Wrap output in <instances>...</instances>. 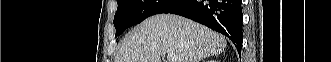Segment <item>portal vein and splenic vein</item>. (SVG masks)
<instances>
[{
    "label": "portal vein and splenic vein",
    "instance_id": "portal-vein-and-splenic-vein-1",
    "mask_svg": "<svg viewBox=\"0 0 331 62\" xmlns=\"http://www.w3.org/2000/svg\"><path fill=\"white\" fill-rule=\"evenodd\" d=\"M176 56L173 54H168L167 55V62H176Z\"/></svg>",
    "mask_w": 331,
    "mask_h": 62
}]
</instances>
